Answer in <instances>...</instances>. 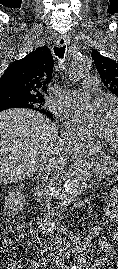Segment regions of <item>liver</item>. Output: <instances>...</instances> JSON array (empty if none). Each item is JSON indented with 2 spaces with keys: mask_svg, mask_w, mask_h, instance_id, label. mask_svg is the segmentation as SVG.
Instances as JSON below:
<instances>
[{
  "mask_svg": "<svg viewBox=\"0 0 118 269\" xmlns=\"http://www.w3.org/2000/svg\"><path fill=\"white\" fill-rule=\"evenodd\" d=\"M56 140L55 124L37 111L14 108L0 112V184L33 175L51 156Z\"/></svg>",
  "mask_w": 118,
  "mask_h": 269,
  "instance_id": "liver-1",
  "label": "liver"
}]
</instances>
